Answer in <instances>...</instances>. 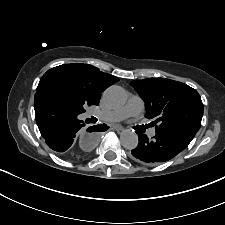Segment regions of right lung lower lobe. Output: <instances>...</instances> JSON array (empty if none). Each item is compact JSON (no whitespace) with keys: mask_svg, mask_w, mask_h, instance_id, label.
<instances>
[{"mask_svg":"<svg viewBox=\"0 0 225 225\" xmlns=\"http://www.w3.org/2000/svg\"><path fill=\"white\" fill-rule=\"evenodd\" d=\"M34 109L36 123L46 144L68 159L77 160L82 154L75 149L76 137L83 131L85 124L78 119V113L62 104L39 94H35ZM108 127L103 125L92 126L88 132L105 131ZM92 141L96 133L88 134ZM93 143L85 145L83 151H89Z\"/></svg>","mask_w":225,"mask_h":225,"instance_id":"1","label":"right lung lower lobe"}]
</instances>
